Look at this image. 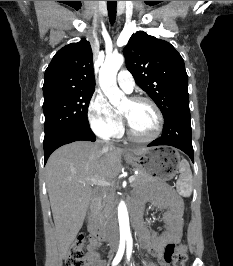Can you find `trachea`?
I'll use <instances>...</instances> for the list:
<instances>
[{"instance_id": "obj_1", "label": "trachea", "mask_w": 233, "mask_h": 266, "mask_svg": "<svg viewBox=\"0 0 233 266\" xmlns=\"http://www.w3.org/2000/svg\"><path fill=\"white\" fill-rule=\"evenodd\" d=\"M116 6H117V1H107V9H108L109 21H110L111 24L115 23Z\"/></svg>"}]
</instances>
